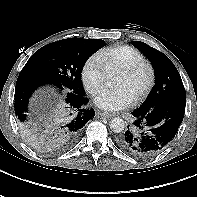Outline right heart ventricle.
Returning a JSON list of instances; mask_svg holds the SVG:
<instances>
[{
  "mask_svg": "<svg viewBox=\"0 0 197 197\" xmlns=\"http://www.w3.org/2000/svg\"><path fill=\"white\" fill-rule=\"evenodd\" d=\"M97 56L104 64L108 74L119 72L145 60L141 52L128 45H118L103 49Z\"/></svg>",
  "mask_w": 197,
  "mask_h": 197,
  "instance_id": "obj_1",
  "label": "right heart ventricle"
}]
</instances>
